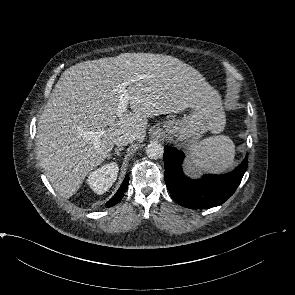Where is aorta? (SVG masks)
<instances>
[{"instance_id":"1","label":"aorta","mask_w":295,"mask_h":295,"mask_svg":"<svg viewBox=\"0 0 295 295\" xmlns=\"http://www.w3.org/2000/svg\"><path fill=\"white\" fill-rule=\"evenodd\" d=\"M164 147L157 141L150 142L146 147V154L151 159H159L163 156Z\"/></svg>"}]
</instances>
